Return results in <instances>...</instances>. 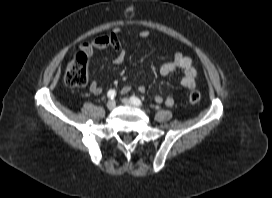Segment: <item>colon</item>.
Wrapping results in <instances>:
<instances>
[{
    "label": "colon",
    "mask_w": 272,
    "mask_h": 198,
    "mask_svg": "<svg viewBox=\"0 0 272 198\" xmlns=\"http://www.w3.org/2000/svg\"><path fill=\"white\" fill-rule=\"evenodd\" d=\"M88 57L85 53H76L69 62L65 75V84L72 88L83 87L88 83ZM189 102L196 104L200 101L201 95L197 91H193L189 94Z\"/></svg>",
    "instance_id": "obj_1"
}]
</instances>
